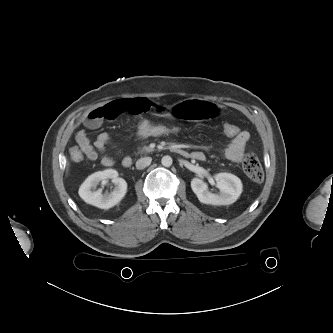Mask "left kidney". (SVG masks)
Segmentation results:
<instances>
[{"instance_id":"5707ae66","label":"left kidney","mask_w":333,"mask_h":333,"mask_svg":"<svg viewBox=\"0 0 333 333\" xmlns=\"http://www.w3.org/2000/svg\"><path fill=\"white\" fill-rule=\"evenodd\" d=\"M218 193H212L208 190V185L199 178L191 181V188L196 194L198 200L204 204L210 205H230L234 203L242 193L241 180L230 173H218L214 176Z\"/></svg>"}]
</instances>
